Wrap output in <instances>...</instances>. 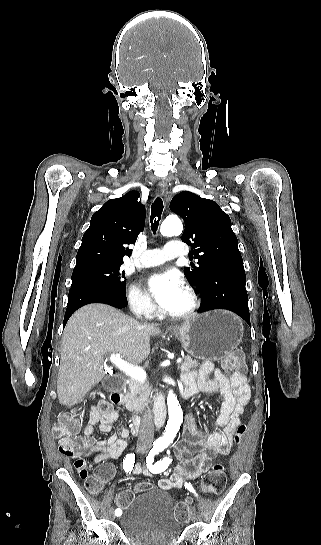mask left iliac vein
I'll return each instance as SVG.
<instances>
[{"label": "left iliac vein", "instance_id": "obj_1", "mask_svg": "<svg viewBox=\"0 0 321 545\" xmlns=\"http://www.w3.org/2000/svg\"><path fill=\"white\" fill-rule=\"evenodd\" d=\"M197 514H198V510H197V508H196L195 506H193V507L191 508V513H190V519H191V521H195V520H196Z\"/></svg>", "mask_w": 321, "mask_h": 545}]
</instances>
